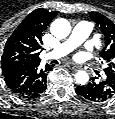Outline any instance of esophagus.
I'll return each instance as SVG.
<instances>
[{
	"label": "esophagus",
	"instance_id": "esophagus-1",
	"mask_svg": "<svg viewBox=\"0 0 115 119\" xmlns=\"http://www.w3.org/2000/svg\"><path fill=\"white\" fill-rule=\"evenodd\" d=\"M70 64V66H71V68L73 69V70H80L81 69V66H79V65H77V64H75V63H69Z\"/></svg>",
	"mask_w": 115,
	"mask_h": 119
}]
</instances>
